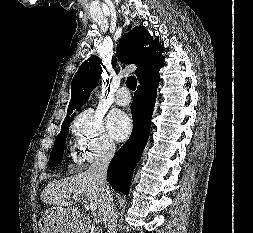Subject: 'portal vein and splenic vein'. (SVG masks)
Returning a JSON list of instances; mask_svg holds the SVG:
<instances>
[{
  "instance_id": "18ae733b",
  "label": "portal vein and splenic vein",
  "mask_w": 253,
  "mask_h": 233,
  "mask_svg": "<svg viewBox=\"0 0 253 233\" xmlns=\"http://www.w3.org/2000/svg\"><path fill=\"white\" fill-rule=\"evenodd\" d=\"M77 197H78L77 195H73V196H72V199H76ZM89 208H90L91 211L94 212V211H96V209H97V205L94 204V203H90Z\"/></svg>"
}]
</instances>
